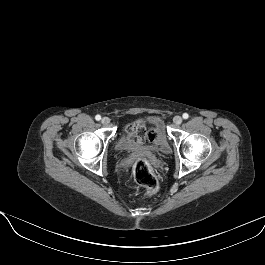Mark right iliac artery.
I'll return each mask as SVG.
<instances>
[{
	"instance_id": "82829eb1",
	"label": "right iliac artery",
	"mask_w": 265,
	"mask_h": 265,
	"mask_svg": "<svg viewBox=\"0 0 265 265\" xmlns=\"http://www.w3.org/2000/svg\"><path fill=\"white\" fill-rule=\"evenodd\" d=\"M95 119H96L97 121H99V120L101 119V116H100V115H96V116H95Z\"/></svg>"
}]
</instances>
